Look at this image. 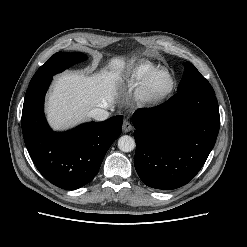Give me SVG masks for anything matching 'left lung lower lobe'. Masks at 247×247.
Wrapping results in <instances>:
<instances>
[{
    "instance_id": "0a47b994",
    "label": "left lung lower lobe",
    "mask_w": 247,
    "mask_h": 247,
    "mask_svg": "<svg viewBox=\"0 0 247 247\" xmlns=\"http://www.w3.org/2000/svg\"><path fill=\"white\" fill-rule=\"evenodd\" d=\"M134 165L149 187L172 190L191 181L214 147L219 107L213 89L189 87L163 104L137 109Z\"/></svg>"
}]
</instances>
